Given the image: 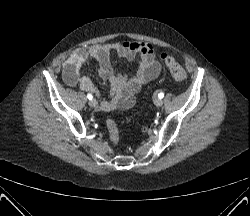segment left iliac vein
<instances>
[{"mask_svg":"<svg viewBox=\"0 0 250 216\" xmlns=\"http://www.w3.org/2000/svg\"><path fill=\"white\" fill-rule=\"evenodd\" d=\"M154 104H155L157 107H160V106H162L163 101H162V99H160V98H156V99L154 100Z\"/></svg>","mask_w":250,"mask_h":216,"instance_id":"1","label":"left iliac vein"}]
</instances>
